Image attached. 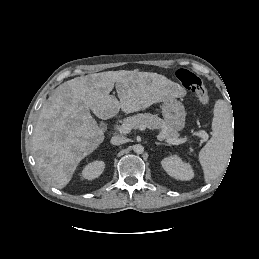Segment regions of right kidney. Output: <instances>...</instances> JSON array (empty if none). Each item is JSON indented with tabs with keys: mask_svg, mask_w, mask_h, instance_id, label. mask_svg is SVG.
I'll use <instances>...</instances> for the list:
<instances>
[{
	"mask_svg": "<svg viewBox=\"0 0 259 259\" xmlns=\"http://www.w3.org/2000/svg\"><path fill=\"white\" fill-rule=\"evenodd\" d=\"M104 168L105 164L103 161H94L84 167L82 176L87 180H93L102 174Z\"/></svg>",
	"mask_w": 259,
	"mask_h": 259,
	"instance_id": "right-kidney-1",
	"label": "right kidney"
}]
</instances>
